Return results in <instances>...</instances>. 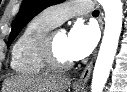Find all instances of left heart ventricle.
I'll list each match as a JSON object with an SVG mask.
<instances>
[{
  "mask_svg": "<svg viewBox=\"0 0 127 92\" xmlns=\"http://www.w3.org/2000/svg\"><path fill=\"white\" fill-rule=\"evenodd\" d=\"M67 36V33L58 31L54 38L56 52L63 60H71L67 53Z\"/></svg>",
  "mask_w": 127,
  "mask_h": 92,
  "instance_id": "1",
  "label": "left heart ventricle"
}]
</instances>
